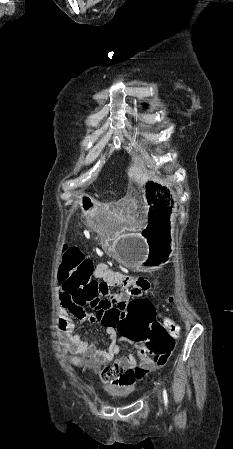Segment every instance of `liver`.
I'll return each mask as SVG.
<instances>
[{"instance_id":"1","label":"liver","mask_w":233,"mask_h":449,"mask_svg":"<svg viewBox=\"0 0 233 449\" xmlns=\"http://www.w3.org/2000/svg\"><path fill=\"white\" fill-rule=\"evenodd\" d=\"M128 177L130 180H135L139 185H141L146 179L147 175L142 173V171L136 165H131L128 168Z\"/></svg>"}]
</instances>
